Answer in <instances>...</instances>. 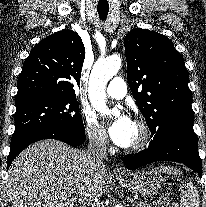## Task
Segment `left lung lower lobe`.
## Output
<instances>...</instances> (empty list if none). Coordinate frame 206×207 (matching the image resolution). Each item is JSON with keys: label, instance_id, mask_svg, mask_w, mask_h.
<instances>
[{"label": "left lung lower lobe", "instance_id": "left-lung-lower-lobe-1", "mask_svg": "<svg viewBox=\"0 0 206 207\" xmlns=\"http://www.w3.org/2000/svg\"><path fill=\"white\" fill-rule=\"evenodd\" d=\"M157 161L183 163L202 177V163L194 131L174 133L153 148L148 147L141 152L129 154L123 158V162L128 169H137Z\"/></svg>", "mask_w": 206, "mask_h": 207}]
</instances>
